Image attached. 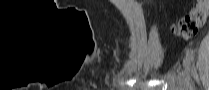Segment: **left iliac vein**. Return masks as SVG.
Instances as JSON below:
<instances>
[{"instance_id": "1", "label": "left iliac vein", "mask_w": 209, "mask_h": 90, "mask_svg": "<svg viewBox=\"0 0 209 90\" xmlns=\"http://www.w3.org/2000/svg\"><path fill=\"white\" fill-rule=\"evenodd\" d=\"M183 66L185 68L186 71L190 72L191 71V63H190V59L188 57H185L183 60Z\"/></svg>"}]
</instances>
